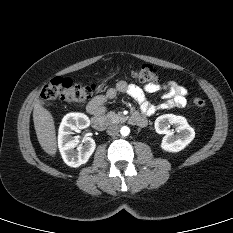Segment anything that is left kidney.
<instances>
[{"mask_svg":"<svg viewBox=\"0 0 233 233\" xmlns=\"http://www.w3.org/2000/svg\"><path fill=\"white\" fill-rule=\"evenodd\" d=\"M174 125L175 131L170 130ZM155 130L158 134H164L161 148L167 152H179L183 150L195 137L194 129L188 124L183 116L164 114L155 120Z\"/></svg>","mask_w":233,"mask_h":233,"instance_id":"obj_1","label":"left kidney"}]
</instances>
